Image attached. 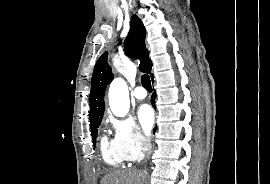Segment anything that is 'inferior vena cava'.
<instances>
[{
  "label": "inferior vena cava",
  "mask_w": 270,
  "mask_h": 184,
  "mask_svg": "<svg viewBox=\"0 0 270 184\" xmlns=\"http://www.w3.org/2000/svg\"><path fill=\"white\" fill-rule=\"evenodd\" d=\"M143 147H144V150L146 151V154L149 155L152 150L150 139H143Z\"/></svg>",
  "instance_id": "inferior-vena-cava-1"
}]
</instances>
